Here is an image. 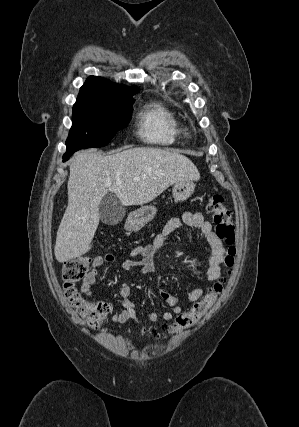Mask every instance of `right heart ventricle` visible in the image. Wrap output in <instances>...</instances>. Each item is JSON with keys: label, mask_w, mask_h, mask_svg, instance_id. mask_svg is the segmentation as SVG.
<instances>
[{"label": "right heart ventricle", "mask_w": 299, "mask_h": 427, "mask_svg": "<svg viewBox=\"0 0 299 427\" xmlns=\"http://www.w3.org/2000/svg\"><path fill=\"white\" fill-rule=\"evenodd\" d=\"M136 133L144 143L165 148L176 142L180 123L165 103L152 100L142 105L137 113Z\"/></svg>", "instance_id": "right-heart-ventricle-1"}]
</instances>
